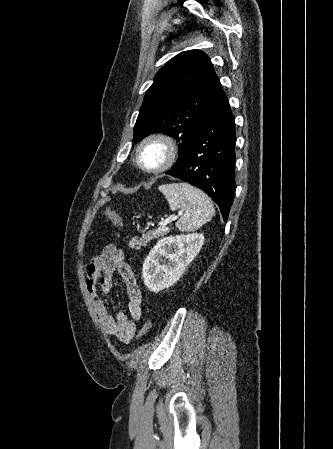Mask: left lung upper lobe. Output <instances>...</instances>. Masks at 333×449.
<instances>
[{
	"instance_id": "obj_1",
	"label": "left lung upper lobe",
	"mask_w": 333,
	"mask_h": 449,
	"mask_svg": "<svg viewBox=\"0 0 333 449\" xmlns=\"http://www.w3.org/2000/svg\"><path fill=\"white\" fill-rule=\"evenodd\" d=\"M222 91L204 52L179 53L158 71L148 89L133 141L137 143L155 132L170 135L179 142V157L173 167L182 165L195 132Z\"/></svg>"
}]
</instances>
